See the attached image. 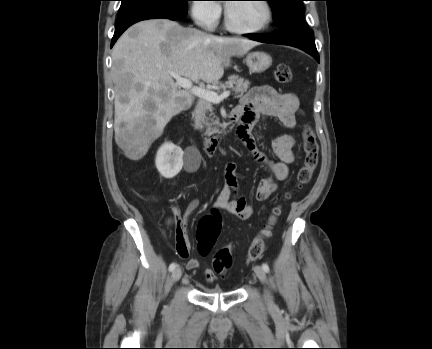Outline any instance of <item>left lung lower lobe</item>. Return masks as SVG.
<instances>
[{
	"label": "left lung lower lobe",
	"instance_id": "left-lung-lower-lobe-1",
	"mask_svg": "<svg viewBox=\"0 0 432 349\" xmlns=\"http://www.w3.org/2000/svg\"><path fill=\"white\" fill-rule=\"evenodd\" d=\"M245 36L259 42L289 45L299 48L312 55L319 63V55L310 31L281 29L279 32L272 35L251 34Z\"/></svg>",
	"mask_w": 432,
	"mask_h": 349
}]
</instances>
